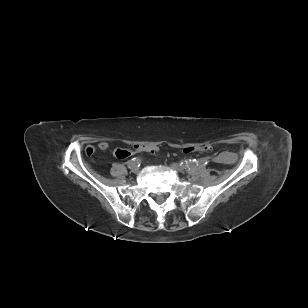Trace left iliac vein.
Masks as SVG:
<instances>
[{
    "label": "left iliac vein",
    "instance_id": "1",
    "mask_svg": "<svg viewBox=\"0 0 308 308\" xmlns=\"http://www.w3.org/2000/svg\"><path fill=\"white\" fill-rule=\"evenodd\" d=\"M171 168L178 172H184L185 168L179 164L173 163L171 164Z\"/></svg>",
    "mask_w": 308,
    "mask_h": 308
}]
</instances>
